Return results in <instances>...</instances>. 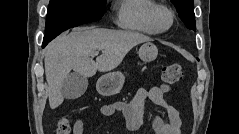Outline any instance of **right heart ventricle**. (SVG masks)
Wrapping results in <instances>:
<instances>
[{
  "label": "right heart ventricle",
  "mask_w": 239,
  "mask_h": 134,
  "mask_svg": "<svg viewBox=\"0 0 239 134\" xmlns=\"http://www.w3.org/2000/svg\"><path fill=\"white\" fill-rule=\"evenodd\" d=\"M157 3L152 0H121L117 4L119 27L144 34L154 35L158 32L150 22L149 15Z\"/></svg>",
  "instance_id": "1"
}]
</instances>
